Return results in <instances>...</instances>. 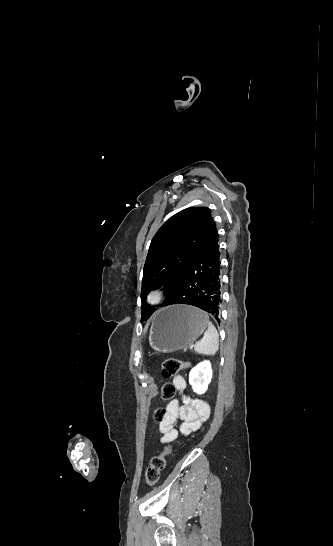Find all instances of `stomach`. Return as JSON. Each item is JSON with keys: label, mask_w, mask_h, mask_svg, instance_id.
<instances>
[{"label": "stomach", "mask_w": 333, "mask_h": 546, "mask_svg": "<svg viewBox=\"0 0 333 546\" xmlns=\"http://www.w3.org/2000/svg\"><path fill=\"white\" fill-rule=\"evenodd\" d=\"M207 327L205 312L189 305H171L153 316L149 343L158 352H175L193 344Z\"/></svg>", "instance_id": "1"}]
</instances>
